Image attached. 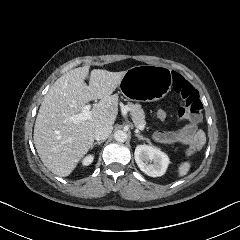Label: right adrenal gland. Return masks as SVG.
Returning a JSON list of instances; mask_svg holds the SVG:
<instances>
[{"mask_svg": "<svg viewBox=\"0 0 240 240\" xmlns=\"http://www.w3.org/2000/svg\"><path fill=\"white\" fill-rule=\"evenodd\" d=\"M103 142H104V140L95 141L94 143L91 144V147H93L95 144H101Z\"/></svg>", "mask_w": 240, "mask_h": 240, "instance_id": "1", "label": "right adrenal gland"}]
</instances>
